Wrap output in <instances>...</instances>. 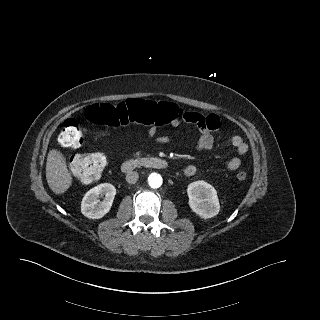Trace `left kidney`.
Masks as SVG:
<instances>
[{
	"instance_id": "1",
	"label": "left kidney",
	"mask_w": 320,
	"mask_h": 320,
	"mask_svg": "<svg viewBox=\"0 0 320 320\" xmlns=\"http://www.w3.org/2000/svg\"><path fill=\"white\" fill-rule=\"evenodd\" d=\"M189 206L201 218L215 217L220 210L217 191L209 183L199 180L192 182L187 187Z\"/></svg>"
}]
</instances>
